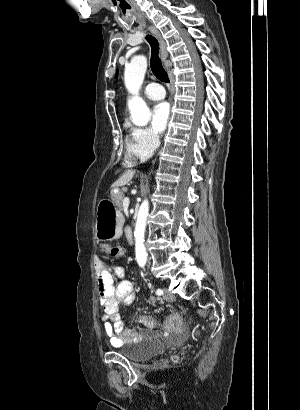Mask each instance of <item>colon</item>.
Listing matches in <instances>:
<instances>
[{"label": "colon", "mask_w": 300, "mask_h": 410, "mask_svg": "<svg viewBox=\"0 0 300 410\" xmlns=\"http://www.w3.org/2000/svg\"><path fill=\"white\" fill-rule=\"evenodd\" d=\"M125 249L122 246H112L109 247L106 252H105V259L106 260H116L120 258ZM144 321L147 324H151V321L147 317H143ZM184 321V318L182 315H179L177 312H171L168 316L167 322L169 325H173L174 327H179Z\"/></svg>", "instance_id": "1"}]
</instances>
